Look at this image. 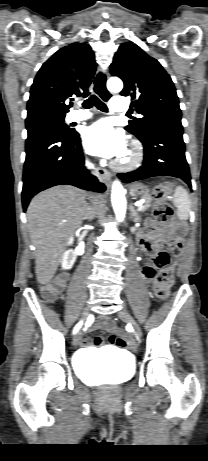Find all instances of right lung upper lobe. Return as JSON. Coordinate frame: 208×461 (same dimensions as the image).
<instances>
[{
  "instance_id": "cb5924a9",
  "label": "right lung upper lobe",
  "mask_w": 208,
  "mask_h": 461,
  "mask_svg": "<svg viewBox=\"0 0 208 461\" xmlns=\"http://www.w3.org/2000/svg\"><path fill=\"white\" fill-rule=\"evenodd\" d=\"M90 45L72 43L54 53L40 68L31 86L27 117H65L72 95L87 97L96 71Z\"/></svg>"
}]
</instances>
